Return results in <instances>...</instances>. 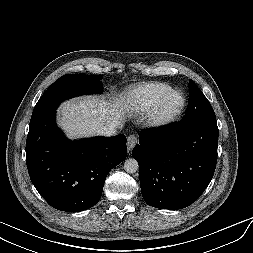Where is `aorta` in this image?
<instances>
[{
	"label": "aorta",
	"instance_id": "aorta-1",
	"mask_svg": "<svg viewBox=\"0 0 253 253\" xmlns=\"http://www.w3.org/2000/svg\"><path fill=\"white\" fill-rule=\"evenodd\" d=\"M138 168H139L138 162L134 158H129L124 163V170L127 173L133 174L138 170Z\"/></svg>",
	"mask_w": 253,
	"mask_h": 253
}]
</instances>
